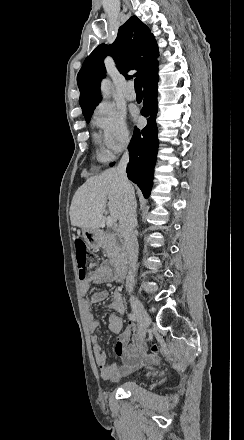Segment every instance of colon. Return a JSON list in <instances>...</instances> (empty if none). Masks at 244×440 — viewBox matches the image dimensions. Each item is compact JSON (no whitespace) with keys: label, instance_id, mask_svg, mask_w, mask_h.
<instances>
[{"label":"colon","instance_id":"colon-1","mask_svg":"<svg viewBox=\"0 0 244 440\" xmlns=\"http://www.w3.org/2000/svg\"><path fill=\"white\" fill-rule=\"evenodd\" d=\"M75 255L77 260L78 277L84 280L87 276L88 270L97 269L99 266V258L95 253L88 252L84 241H76L74 244ZM162 349L160 343H153L151 351L155 354L159 353Z\"/></svg>","mask_w":244,"mask_h":440}]
</instances>
